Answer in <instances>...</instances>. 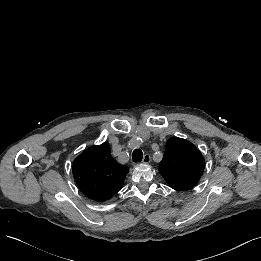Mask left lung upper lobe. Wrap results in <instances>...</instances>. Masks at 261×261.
<instances>
[{
  "label": "left lung upper lobe",
  "mask_w": 261,
  "mask_h": 261,
  "mask_svg": "<svg viewBox=\"0 0 261 261\" xmlns=\"http://www.w3.org/2000/svg\"><path fill=\"white\" fill-rule=\"evenodd\" d=\"M204 167L202 154L191 142L173 137L167 141L159 172L170 187L186 190L197 184Z\"/></svg>",
  "instance_id": "left-lung-upper-lobe-1"
}]
</instances>
